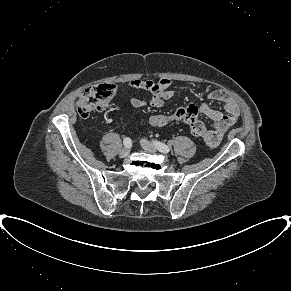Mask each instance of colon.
Masks as SVG:
<instances>
[{"label":"colon","mask_w":291,"mask_h":291,"mask_svg":"<svg viewBox=\"0 0 291 291\" xmlns=\"http://www.w3.org/2000/svg\"><path fill=\"white\" fill-rule=\"evenodd\" d=\"M119 88L114 84H99L83 90L80 94L76 110L80 117L86 118L94 111L105 109L118 95ZM198 109L194 105L179 107L170 114H155L148 118L151 126L162 127L172 122L184 121L190 126L191 132L210 145L214 140L205 124L198 118Z\"/></svg>","instance_id":"5ec220e1"}]
</instances>
